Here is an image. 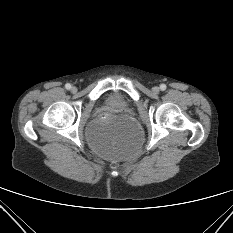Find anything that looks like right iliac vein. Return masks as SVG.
I'll return each instance as SVG.
<instances>
[{"label": "right iliac vein", "mask_w": 233, "mask_h": 233, "mask_svg": "<svg viewBox=\"0 0 233 233\" xmlns=\"http://www.w3.org/2000/svg\"><path fill=\"white\" fill-rule=\"evenodd\" d=\"M71 92L72 93H76L77 92V88L75 86L71 87Z\"/></svg>", "instance_id": "right-iliac-vein-1"}]
</instances>
